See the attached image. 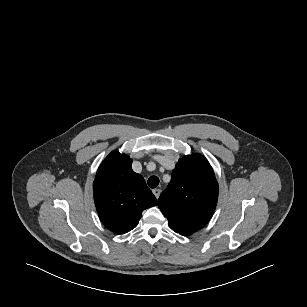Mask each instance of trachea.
<instances>
[{"label":"trachea","instance_id":"trachea-1","mask_svg":"<svg viewBox=\"0 0 307 307\" xmlns=\"http://www.w3.org/2000/svg\"><path fill=\"white\" fill-rule=\"evenodd\" d=\"M159 184V178L157 176H151L149 179H148V186L150 188H155L157 187Z\"/></svg>","mask_w":307,"mask_h":307}]
</instances>
